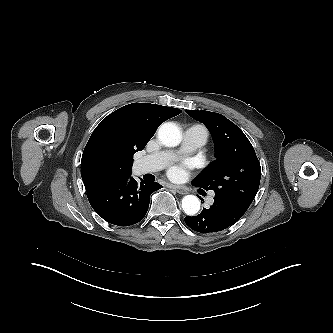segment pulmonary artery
<instances>
[{"instance_id": "obj_1", "label": "pulmonary artery", "mask_w": 333, "mask_h": 333, "mask_svg": "<svg viewBox=\"0 0 333 333\" xmlns=\"http://www.w3.org/2000/svg\"><path fill=\"white\" fill-rule=\"evenodd\" d=\"M207 130L202 125L188 127L183 136L180 148L176 151H161L141 158L137 163L140 174L153 173L164 168L177 156L188 154L202 147L207 142Z\"/></svg>"}]
</instances>
